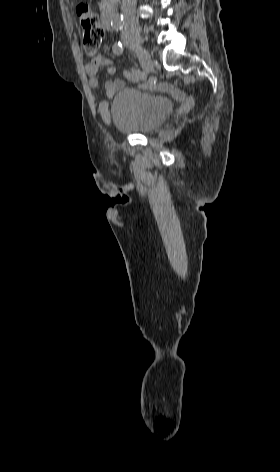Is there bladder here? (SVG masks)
<instances>
[{
  "instance_id": "bladder-1",
  "label": "bladder",
  "mask_w": 280,
  "mask_h": 472,
  "mask_svg": "<svg viewBox=\"0 0 280 472\" xmlns=\"http://www.w3.org/2000/svg\"><path fill=\"white\" fill-rule=\"evenodd\" d=\"M173 107V101L166 96L126 87L113 100L112 122L121 132L145 133L160 127Z\"/></svg>"
}]
</instances>
